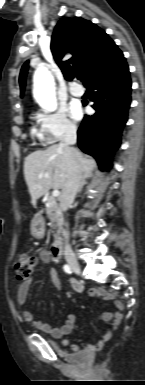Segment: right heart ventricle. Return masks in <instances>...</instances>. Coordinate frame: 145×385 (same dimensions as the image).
Returning a JSON list of instances; mask_svg holds the SVG:
<instances>
[{"mask_svg":"<svg viewBox=\"0 0 145 385\" xmlns=\"http://www.w3.org/2000/svg\"><path fill=\"white\" fill-rule=\"evenodd\" d=\"M32 134H33V135H36V136H38V137H41V134H39V133L36 131V129H32Z\"/></svg>","mask_w":145,"mask_h":385,"instance_id":"1","label":"right heart ventricle"}]
</instances>
